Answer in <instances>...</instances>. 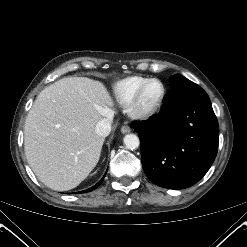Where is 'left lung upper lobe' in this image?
<instances>
[{
  "instance_id": "left-lung-upper-lobe-1",
  "label": "left lung upper lobe",
  "mask_w": 247,
  "mask_h": 247,
  "mask_svg": "<svg viewBox=\"0 0 247 247\" xmlns=\"http://www.w3.org/2000/svg\"><path fill=\"white\" fill-rule=\"evenodd\" d=\"M194 85L196 84L180 74H176L170 77L171 89L189 87V86H194Z\"/></svg>"
}]
</instances>
